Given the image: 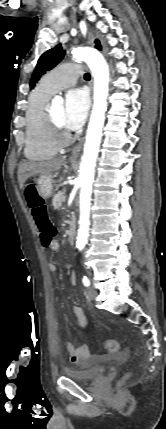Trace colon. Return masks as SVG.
Masks as SVG:
<instances>
[{
  "mask_svg": "<svg viewBox=\"0 0 166 429\" xmlns=\"http://www.w3.org/2000/svg\"><path fill=\"white\" fill-rule=\"evenodd\" d=\"M25 195L33 218L40 231L41 242L44 246H48L55 238L56 228L48 217L47 207L33 185H28L26 187ZM102 347L111 353L117 352L120 348L118 341L113 339L105 340L102 343ZM129 376V373L125 374L123 380L129 378Z\"/></svg>",
  "mask_w": 166,
  "mask_h": 429,
  "instance_id": "1",
  "label": "colon"
}]
</instances>
